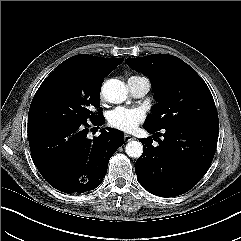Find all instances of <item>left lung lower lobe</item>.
Returning a JSON list of instances; mask_svg holds the SVG:
<instances>
[{
    "instance_id": "left-lung-lower-lobe-1",
    "label": "left lung lower lobe",
    "mask_w": 241,
    "mask_h": 241,
    "mask_svg": "<svg viewBox=\"0 0 241 241\" xmlns=\"http://www.w3.org/2000/svg\"><path fill=\"white\" fill-rule=\"evenodd\" d=\"M155 133L140 139L143 154L135 163L139 183L150 193L161 197L184 194L194 187L209 169L214 157L218 127L205 125H171L160 130L144 127ZM153 137V139H154Z\"/></svg>"
}]
</instances>
